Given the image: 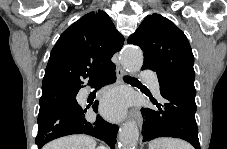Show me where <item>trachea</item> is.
Masks as SVG:
<instances>
[{"label": "trachea", "mask_w": 227, "mask_h": 149, "mask_svg": "<svg viewBox=\"0 0 227 149\" xmlns=\"http://www.w3.org/2000/svg\"><path fill=\"white\" fill-rule=\"evenodd\" d=\"M125 81H130V82H139L138 79L134 78V77H130V76H125L124 77Z\"/></svg>", "instance_id": "1"}]
</instances>
